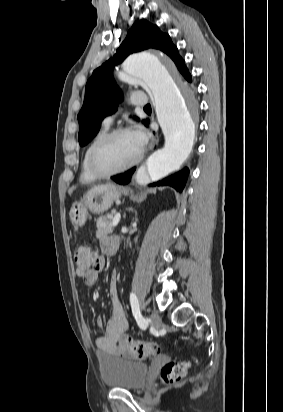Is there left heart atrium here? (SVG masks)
Here are the masks:
<instances>
[{"label": "left heart atrium", "mask_w": 283, "mask_h": 412, "mask_svg": "<svg viewBox=\"0 0 283 412\" xmlns=\"http://www.w3.org/2000/svg\"><path fill=\"white\" fill-rule=\"evenodd\" d=\"M137 144L139 147L142 149L148 140V134L147 132L142 128V127H137L133 132H132Z\"/></svg>", "instance_id": "obj_1"}]
</instances>
